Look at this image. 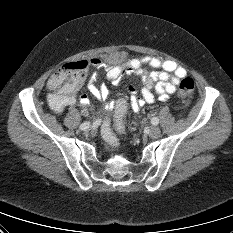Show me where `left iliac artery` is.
Segmentation results:
<instances>
[{
  "mask_svg": "<svg viewBox=\"0 0 233 233\" xmlns=\"http://www.w3.org/2000/svg\"><path fill=\"white\" fill-rule=\"evenodd\" d=\"M151 123L153 125H157L159 123V119L157 117L152 118Z\"/></svg>",
  "mask_w": 233,
  "mask_h": 233,
  "instance_id": "1",
  "label": "left iliac artery"
}]
</instances>
